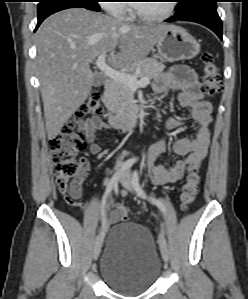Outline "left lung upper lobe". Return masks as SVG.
Listing matches in <instances>:
<instances>
[{
	"instance_id": "5c2ea615",
	"label": "left lung upper lobe",
	"mask_w": 248,
	"mask_h": 299,
	"mask_svg": "<svg viewBox=\"0 0 248 299\" xmlns=\"http://www.w3.org/2000/svg\"><path fill=\"white\" fill-rule=\"evenodd\" d=\"M217 0H179L177 7L185 12H189L193 8H197L202 5L214 4L216 5Z\"/></svg>"
}]
</instances>
